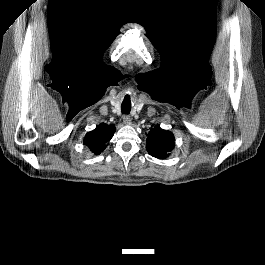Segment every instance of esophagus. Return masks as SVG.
<instances>
[{"label": "esophagus", "mask_w": 265, "mask_h": 265, "mask_svg": "<svg viewBox=\"0 0 265 265\" xmlns=\"http://www.w3.org/2000/svg\"><path fill=\"white\" fill-rule=\"evenodd\" d=\"M131 117L129 116V115H124L123 116V122H124V124H126V125H129L130 123H131Z\"/></svg>", "instance_id": "34e87169"}]
</instances>
